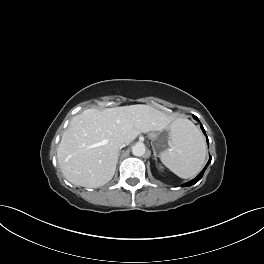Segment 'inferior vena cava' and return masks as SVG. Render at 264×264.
I'll use <instances>...</instances> for the list:
<instances>
[{
  "label": "inferior vena cava",
  "instance_id": "602c4592",
  "mask_svg": "<svg viewBox=\"0 0 264 264\" xmlns=\"http://www.w3.org/2000/svg\"><path fill=\"white\" fill-rule=\"evenodd\" d=\"M125 146H126V144H125L124 141L119 142V147H120V148H123V147H125Z\"/></svg>",
  "mask_w": 264,
  "mask_h": 264
}]
</instances>
